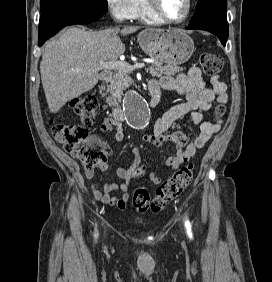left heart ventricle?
Returning a JSON list of instances; mask_svg holds the SVG:
<instances>
[{
    "mask_svg": "<svg viewBox=\"0 0 272 282\" xmlns=\"http://www.w3.org/2000/svg\"><path fill=\"white\" fill-rule=\"evenodd\" d=\"M161 9L170 18H180L186 12V0H158Z\"/></svg>",
    "mask_w": 272,
    "mask_h": 282,
    "instance_id": "1",
    "label": "left heart ventricle"
}]
</instances>
